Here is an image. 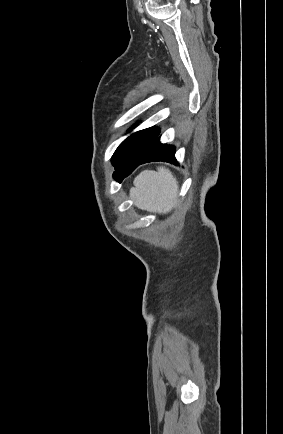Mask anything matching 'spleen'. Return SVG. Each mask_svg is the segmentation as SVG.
I'll list each match as a JSON object with an SVG mask.
<instances>
[{"instance_id": "3e777b00", "label": "spleen", "mask_w": 283, "mask_h": 434, "mask_svg": "<svg viewBox=\"0 0 283 434\" xmlns=\"http://www.w3.org/2000/svg\"><path fill=\"white\" fill-rule=\"evenodd\" d=\"M178 182L172 173L159 167L157 171H142L130 189V198L142 210L167 213L176 203Z\"/></svg>"}]
</instances>
